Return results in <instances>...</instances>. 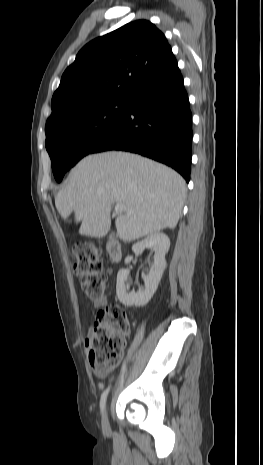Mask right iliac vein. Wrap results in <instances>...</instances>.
<instances>
[{
    "label": "right iliac vein",
    "mask_w": 263,
    "mask_h": 465,
    "mask_svg": "<svg viewBox=\"0 0 263 465\" xmlns=\"http://www.w3.org/2000/svg\"><path fill=\"white\" fill-rule=\"evenodd\" d=\"M102 428L106 431L109 429V422L106 409H104L102 414Z\"/></svg>",
    "instance_id": "obj_1"
}]
</instances>
